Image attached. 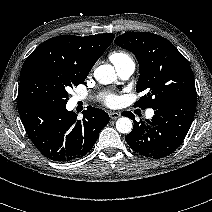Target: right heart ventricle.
<instances>
[{
  "label": "right heart ventricle",
  "mask_w": 212,
  "mask_h": 212,
  "mask_svg": "<svg viewBox=\"0 0 212 212\" xmlns=\"http://www.w3.org/2000/svg\"><path fill=\"white\" fill-rule=\"evenodd\" d=\"M127 59H131L130 56L122 51H116L110 55V60L114 63V65L119 64Z\"/></svg>",
  "instance_id": "1"
}]
</instances>
